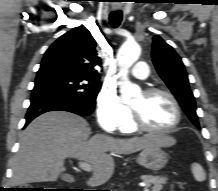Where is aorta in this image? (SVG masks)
Listing matches in <instances>:
<instances>
[{
    "mask_svg": "<svg viewBox=\"0 0 218 191\" xmlns=\"http://www.w3.org/2000/svg\"><path fill=\"white\" fill-rule=\"evenodd\" d=\"M141 53L140 46L136 42H125L119 49L117 61L120 68L121 79L119 82L121 99L129 104L133 97L141 93L139 86L128 79L130 67L138 60Z\"/></svg>",
    "mask_w": 218,
    "mask_h": 191,
    "instance_id": "1",
    "label": "aorta"
}]
</instances>
